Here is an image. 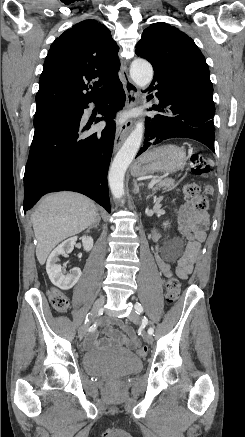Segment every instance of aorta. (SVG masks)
<instances>
[{
	"mask_svg": "<svg viewBox=\"0 0 245 437\" xmlns=\"http://www.w3.org/2000/svg\"><path fill=\"white\" fill-rule=\"evenodd\" d=\"M130 76L140 88H146L153 78L151 64L144 59H135L131 64ZM143 132L144 123L140 121L136 124L112 162L108 180L112 195L116 199H121L124 195L125 172L139 150Z\"/></svg>",
	"mask_w": 245,
	"mask_h": 437,
	"instance_id": "1",
	"label": "aorta"
}]
</instances>
